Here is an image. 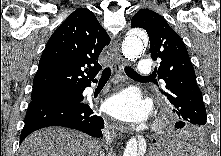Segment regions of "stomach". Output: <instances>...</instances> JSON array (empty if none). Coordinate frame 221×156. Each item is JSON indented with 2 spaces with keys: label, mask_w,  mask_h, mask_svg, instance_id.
Returning <instances> with one entry per match:
<instances>
[{
  "label": "stomach",
  "mask_w": 221,
  "mask_h": 156,
  "mask_svg": "<svg viewBox=\"0 0 221 156\" xmlns=\"http://www.w3.org/2000/svg\"><path fill=\"white\" fill-rule=\"evenodd\" d=\"M150 156H188L184 148L179 147L174 141L160 142L152 149Z\"/></svg>",
  "instance_id": "1"
}]
</instances>
